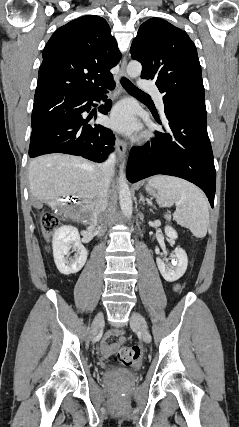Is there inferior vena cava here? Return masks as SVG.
I'll return each mask as SVG.
<instances>
[{"label": "inferior vena cava", "mask_w": 239, "mask_h": 427, "mask_svg": "<svg viewBox=\"0 0 239 427\" xmlns=\"http://www.w3.org/2000/svg\"><path fill=\"white\" fill-rule=\"evenodd\" d=\"M115 160V154L112 153L105 162L99 165L100 184L95 206V223H97V220L100 221L102 219L108 206V189L110 178L114 172Z\"/></svg>", "instance_id": "1"}]
</instances>
